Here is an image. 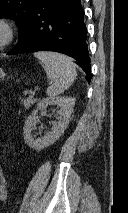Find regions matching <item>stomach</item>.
<instances>
[{
	"instance_id": "obj_1",
	"label": "stomach",
	"mask_w": 128,
	"mask_h": 213,
	"mask_svg": "<svg viewBox=\"0 0 128 213\" xmlns=\"http://www.w3.org/2000/svg\"><path fill=\"white\" fill-rule=\"evenodd\" d=\"M6 76V73L0 68V79H3Z\"/></svg>"
}]
</instances>
